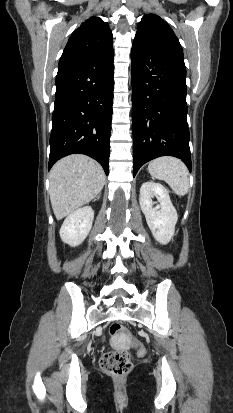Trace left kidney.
Instances as JSON below:
<instances>
[{
    "mask_svg": "<svg viewBox=\"0 0 233 413\" xmlns=\"http://www.w3.org/2000/svg\"><path fill=\"white\" fill-rule=\"evenodd\" d=\"M154 196L159 202L156 207H153ZM139 202L156 241L163 245L169 243L175 232L178 215L170 200L168 190L159 183L145 182L140 188Z\"/></svg>",
    "mask_w": 233,
    "mask_h": 413,
    "instance_id": "1",
    "label": "left kidney"
}]
</instances>
